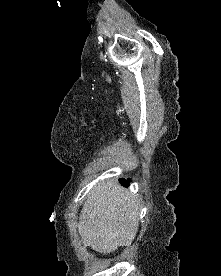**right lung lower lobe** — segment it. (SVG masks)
<instances>
[{"instance_id":"obj_1","label":"right lung lower lobe","mask_w":221,"mask_h":276,"mask_svg":"<svg viewBox=\"0 0 221 276\" xmlns=\"http://www.w3.org/2000/svg\"><path fill=\"white\" fill-rule=\"evenodd\" d=\"M119 181L123 186H125V187L129 186L130 179L121 178Z\"/></svg>"}]
</instances>
